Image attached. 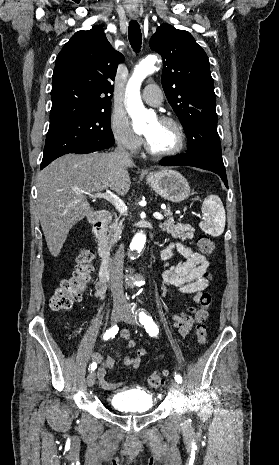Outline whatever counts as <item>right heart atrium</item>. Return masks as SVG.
<instances>
[{
  "mask_svg": "<svg viewBox=\"0 0 279 465\" xmlns=\"http://www.w3.org/2000/svg\"><path fill=\"white\" fill-rule=\"evenodd\" d=\"M111 133L116 144L123 150L134 153L139 150L142 139L131 128L127 117L115 112L111 118Z\"/></svg>",
  "mask_w": 279,
  "mask_h": 465,
  "instance_id": "right-heart-atrium-1",
  "label": "right heart atrium"
}]
</instances>
